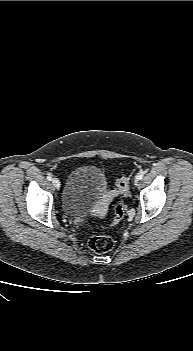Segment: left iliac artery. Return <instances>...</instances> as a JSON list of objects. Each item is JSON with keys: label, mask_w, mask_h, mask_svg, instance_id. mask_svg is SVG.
Masks as SVG:
<instances>
[{"label": "left iliac artery", "mask_w": 193, "mask_h": 351, "mask_svg": "<svg viewBox=\"0 0 193 351\" xmlns=\"http://www.w3.org/2000/svg\"><path fill=\"white\" fill-rule=\"evenodd\" d=\"M143 176H144V172H143V171H140V172L138 173V175L136 176V178H137L138 180H140V179L143 178Z\"/></svg>", "instance_id": "obj_1"}]
</instances>
